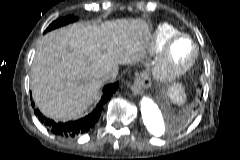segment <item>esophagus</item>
I'll use <instances>...</instances> for the list:
<instances>
[{
  "instance_id": "esophagus-1",
  "label": "esophagus",
  "mask_w": 240,
  "mask_h": 160,
  "mask_svg": "<svg viewBox=\"0 0 240 160\" xmlns=\"http://www.w3.org/2000/svg\"><path fill=\"white\" fill-rule=\"evenodd\" d=\"M152 84L151 78L145 74H140L134 81L131 89L133 94L141 95L144 89H148Z\"/></svg>"
}]
</instances>
